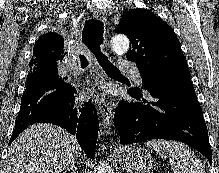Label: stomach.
Listing matches in <instances>:
<instances>
[{
  "instance_id": "0dacf381",
  "label": "stomach",
  "mask_w": 219,
  "mask_h": 173,
  "mask_svg": "<svg viewBox=\"0 0 219 173\" xmlns=\"http://www.w3.org/2000/svg\"><path fill=\"white\" fill-rule=\"evenodd\" d=\"M120 165L130 173H148L153 164L151 153L141 146H128L118 152Z\"/></svg>"
}]
</instances>
